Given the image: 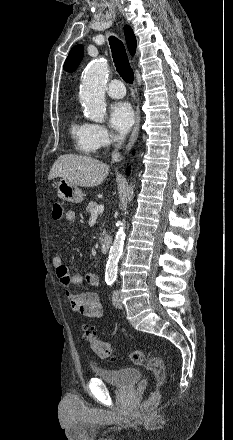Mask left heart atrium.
Here are the masks:
<instances>
[{
  "mask_svg": "<svg viewBox=\"0 0 233 440\" xmlns=\"http://www.w3.org/2000/svg\"><path fill=\"white\" fill-rule=\"evenodd\" d=\"M109 121L120 134L128 132L134 123V112L130 104L126 102L114 103L110 108Z\"/></svg>",
  "mask_w": 233,
  "mask_h": 440,
  "instance_id": "39dd6f15",
  "label": "left heart atrium"
}]
</instances>
